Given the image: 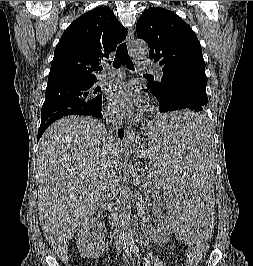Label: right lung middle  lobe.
Returning a JSON list of instances; mask_svg holds the SVG:
<instances>
[{
    "label": "right lung middle lobe",
    "mask_w": 253,
    "mask_h": 266,
    "mask_svg": "<svg viewBox=\"0 0 253 266\" xmlns=\"http://www.w3.org/2000/svg\"><path fill=\"white\" fill-rule=\"evenodd\" d=\"M96 81L87 83H68L46 89L45 101L41 110V125L51 123L68 115H83L101 107V88Z\"/></svg>",
    "instance_id": "dd1d6c3e"
}]
</instances>
